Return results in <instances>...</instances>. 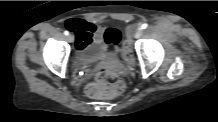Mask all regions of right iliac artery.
Here are the masks:
<instances>
[{
    "instance_id": "obj_1",
    "label": "right iliac artery",
    "mask_w": 218,
    "mask_h": 122,
    "mask_svg": "<svg viewBox=\"0 0 218 122\" xmlns=\"http://www.w3.org/2000/svg\"><path fill=\"white\" fill-rule=\"evenodd\" d=\"M64 34H65V35H68V34H69V32H68V31H64Z\"/></svg>"
}]
</instances>
